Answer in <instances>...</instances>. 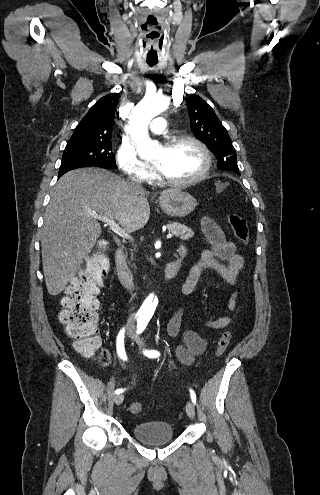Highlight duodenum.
I'll use <instances>...</instances> for the list:
<instances>
[{
  "label": "duodenum",
  "instance_id": "410a0bca",
  "mask_svg": "<svg viewBox=\"0 0 320 495\" xmlns=\"http://www.w3.org/2000/svg\"><path fill=\"white\" fill-rule=\"evenodd\" d=\"M185 255V248H179L177 258L166 265L163 276L159 280L160 283L168 282L177 275ZM115 263L120 282L126 287H133L135 283L128 268L125 253L122 248L116 250Z\"/></svg>",
  "mask_w": 320,
  "mask_h": 495
}]
</instances>
